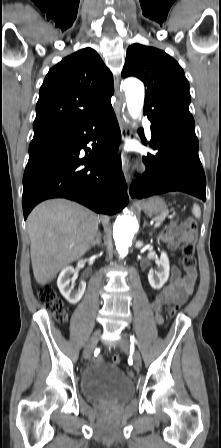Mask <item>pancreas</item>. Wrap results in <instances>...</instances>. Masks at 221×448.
Listing matches in <instances>:
<instances>
[{
    "instance_id": "obj_1",
    "label": "pancreas",
    "mask_w": 221,
    "mask_h": 448,
    "mask_svg": "<svg viewBox=\"0 0 221 448\" xmlns=\"http://www.w3.org/2000/svg\"><path fill=\"white\" fill-rule=\"evenodd\" d=\"M165 215H166V214H165ZM165 215H158V216H156V217L154 218V220H155V221L162 222L163 219H164V217H165Z\"/></svg>"
}]
</instances>
